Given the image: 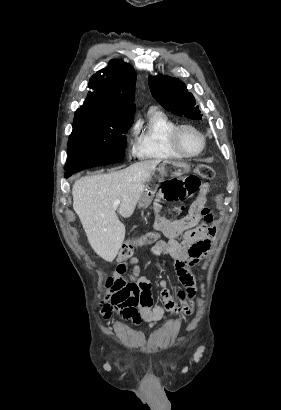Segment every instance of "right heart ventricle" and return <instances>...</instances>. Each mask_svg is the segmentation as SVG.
I'll use <instances>...</instances> for the list:
<instances>
[{
	"label": "right heart ventricle",
	"instance_id": "1",
	"mask_svg": "<svg viewBox=\"0 0 281 410\" xmlns=\"http://www.w3.org/2000/svg\"><path fill=\"white\" fill-rule=\"evenodd\" d=\"M178 123L165 112L151 108L139 123L135 154L143 160H169L183 158L171 143V134Z\"/></svg>",
	"mask_w": 281,
	"mask_h": 410
}]
</instances>
